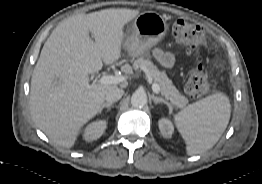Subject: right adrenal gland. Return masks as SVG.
Instances as JSON below:
<instances>
[{
  "label": "right adrenal gland",
  "mask_w": 262,
  "mask_h": 184,
  "mask_svg": "<svg viewBox=\"0 0 262 184\" xmlns=\"http://www.w3.org/2000/svg\"><path fill=\"white\" fill-rule=\"evenodd\" d=\"M111 106H112V103H104V104L101 106L100 110H99V114L102 113V111H103L104 108H106L107 111H109L110 108H111Z\"/></svg>",
  "instance_id": "obj_1"
}]
</instances>
